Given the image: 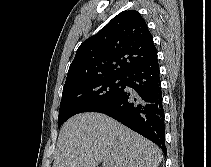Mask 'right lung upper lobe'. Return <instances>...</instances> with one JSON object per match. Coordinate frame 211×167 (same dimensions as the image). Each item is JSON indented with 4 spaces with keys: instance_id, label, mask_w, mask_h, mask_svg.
I'll use <instances>...</instances> for the list:
<instances>
[{
    "instance_id": "1",
    "label": "right lung upper lobe",
    "mask_w": 211,
    "mask_h": 167,
    "mask_svg": "<svg viewBox=\"0 0 211 167\" xmlns=\"http://www.w3.org/2000/svg\"><path fill=\"white\" fill-rule=\"evenodd\" d=\"M157 56L152 35L140 13L123 11L77 49L64 88L105 76H124Z\"/></svg>"
}]
</instances>
